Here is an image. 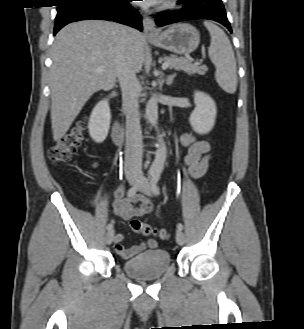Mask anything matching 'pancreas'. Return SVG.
Listing matches in <instances>:
<instances>
[{
    "instance_id": "obj_1",
    "label": "pancreas",
    "mask_w": 304,
    "mask_h": 329,
    "mask_svg": "<svg viewBox=\"0 0 304 329\" xmlns=\"http://www.w3.org/2000/svg\"><path fill=\"white\" fill-rule=\"evenodd\" d=\"M166 62H169V68L175 70H183L190 74H199L204 75L208 68L205 65H200L198 62L193 63V59L191 58H183L170 56L165 58Z\"/></svg>"
}]
</instances>
